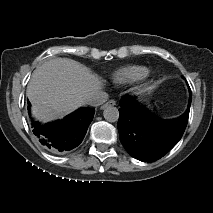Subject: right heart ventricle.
<instances>
[{
    "mask_svg": "<svg viewBox=\"0 0 213 213\" xmlns=\"http://www.w3.org/2000/svg\"><path fill=\"white\" fill-rule=\"evenodd\" d=\"M147 72L144 66L126 65L114 71L111 79L117 84H129L143 79Z\"/></svg>",
    "mask_w": 213,
    "mask_h": 213,
    "instance_id": "1",
    "label": "right heart ventricle"
}]
</instances>
